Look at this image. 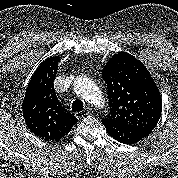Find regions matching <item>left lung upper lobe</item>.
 Wrapping results in <instances>:
<instances>
[{"label":"left lung upper lobe","mask_w":178,"mask_h":178,"mask_svg":"<svg viewBox=\"0 0 178 178\" xmlns=\"http://www.w3.org/2000/svg\"><path fill=\"white\" fill-rule=\"evenodd\" d=\"M108 87L107 120L153 130L161 116L162 99L147 68L134 56L119 52L102 70Z\"/></svg>","instance_id":"5c2ea615"}]
</instances>
